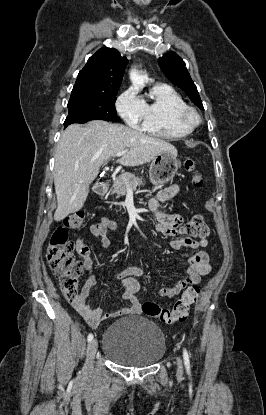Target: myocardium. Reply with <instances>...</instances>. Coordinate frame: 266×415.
Returning <instances> with one entry per match:
<instances>
[{
	"label": "myocardium",
	"instance_id": "1",
	"mask_svg": "<svg viewBox=\"0 0 266 415\" xmlns=\"http://www.w3.org/2000/svg\"><path fill=\"white\" fill-rule=\"evenodd\" d=\"M179 119L183 123L188 124L192 127L199 124L201 121V117L198 111L191 106H186L183 110L180 111Z\"/></svg>",
	"mask_w": 266,
	"mask_h": 415
}]
</instances>
